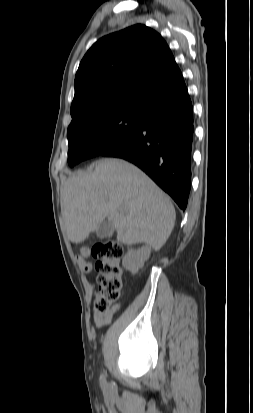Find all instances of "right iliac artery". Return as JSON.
Listing matches in <instances>:
<instances>
[{
  "instance_id": "82829eb1",
  "label": "right iliac artery",
  "mask_w": 253,
  "mask_h": 413,
  "mask_svg": "<svg viewBox=\"0 0 253 413\" xmlns=\"http://www.w3.org/2000/svg\"><path fill=\"white\" fill-rule=\"evenodd\" d=\"M101 381H104V377H103V376H101Z\"/></svg>"
}]
</instances>
